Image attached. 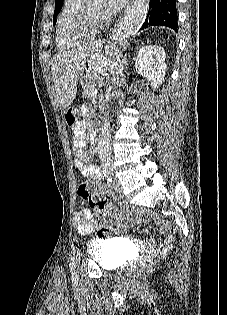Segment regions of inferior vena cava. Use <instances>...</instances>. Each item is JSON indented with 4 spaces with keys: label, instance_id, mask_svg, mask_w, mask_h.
Wrapping results in <instances>:
<instances>
[{
    "label": "inferior vena cava",
    "instance_id": "1",
    "mask_svg": "<svg viewBox=\"0 0 227 315\" xmlns=\"http://www.w3.org/2000/svg\"><path fill=\"white\" fill-rule=\"evenodd\" d=\"M123 64H125L124 60L121 59V54L117 57V62H116V65H115V74L116 76L113 77L112 79V84L114 86V88H118V87H121L122 85V82H123V69H124V66ZM102 162V166L103 167H112V162L110 163H106L105 161L101 160Z\"/></svg>",
    "mask_w": 227,
    "mask_h": 315
}]
</instances>
